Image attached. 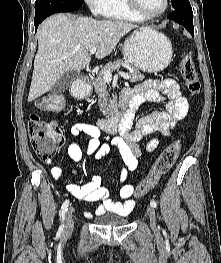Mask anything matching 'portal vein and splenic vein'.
<instances>
[{"mask_svg":"<svg viewBox=\"0 0 221 263\" xmlns=\"http://www.w3.org/2000/svg\"><path fill=\"white\" fill-rule=\"evenodd\" d=\"M96 51H97V47H92V48L90 49V54H94V53H96ZM119 75H120L121 77H123L125 80H129V79H130L129 75L126 74V73L120 72ZM103 78H104L107 82H108V81H111V80H112V73H111V71H109V70L105 71V72L103 73Z\"/></svg>","mask_w":221,"mask_h":263,"instance_id":"portal-vein-and-splenic-vein-1","label":"portal vein and splenic vein"}]
</instances>
